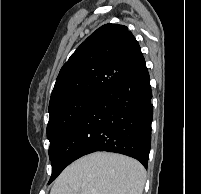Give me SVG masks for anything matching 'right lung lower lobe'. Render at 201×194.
Listing matches in <instances>:
<instances>
[{
  "mask_svg": "<svg viewBox=\"0 0 201 194\" xmlns=\"http://www.w3.org/2000/svg\"><path fill=\"white\" fill-rule=\"evenodd\" d=\"M145 61L85 110L68 128L53 153L58 176L76 159L96 151L124 154L147 168L153 105Z\"/></svg>",
  "mask_w": 201,
  "mask_h": 194,
  "instance_id": "obj_1",
  "label": "right lung lower lobe"
}]
</instances>
